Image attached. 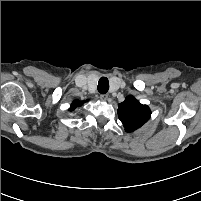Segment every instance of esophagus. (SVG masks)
I'll use <instances>...</instances> for the list:
<instances>
[{
    "instance_id": "obj_1",
    "label": "esophagus",
    "mask_w": 201,
    "mask_h": 201,
    "mask_svg": "<svg viewBox=\"0 0 201 201\" xmlns=\"http://www.w3.org/2000/svg\"><path fill=\"white\" fill-rule=\"evenodd\" d=\"M99 98H100L101 101H107L108 95L107 94H102V95L99 96Z\"/></svg>"
}]
</instances>
